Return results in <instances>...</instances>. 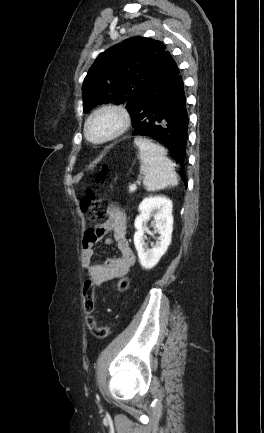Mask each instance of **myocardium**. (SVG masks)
<instances>
[{
    "label": "myocardium",
    "mask_w": 264,
    "mask_h": 433,
    "mask_svg": "<svg viewBox=\"0 0 264 433\" xmlns=\"http://www.w3.org/2000/svg\"><path fill=\"white\" fill-rule=\"evenodd\" d=\"M103 115H113L116 118V125L107 133L95 137L90 133V126ZM130 125L131 116L127 109L116 104H106L92 111L86 118L83 126V136L93 145H103L122 136Z\"/></svg>",
    "instance_id": "1"
}]
</instances>
